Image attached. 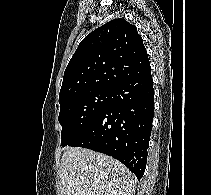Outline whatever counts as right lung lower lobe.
<instances>
[{"instance_id": "98d812e1", "label": "right lung lower lobe", "mask_w": 211, "mask_h": 195, "mask_svg": "<svg viewBox=\"0 0 211 195\" xmlns=\"http://www.w3.org/2000/svg\"><path fill=\"white\" fill-rule=\"evenodd\" d=\"M154 115L151 70L110 88L105 109L71 145L112 156L143 177Z\"/></svg>"}]
</instances>
